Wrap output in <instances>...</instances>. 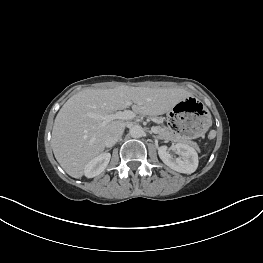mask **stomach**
Returning a JSON list of instances; mask_svg holds the SVG:
<instances>
[{"label": "stomach", "mask_w": 263, "mask_h": 263, "mask_svg": "<svg viewBox=\"0 0 263 263\" xmlns=\"http://www.w3.org/2000/svg\"><path fill=\"white\" fill-rule=\"evenodd\" d=\"M174 131L182 138L196 140L204 137L211 129L213 116L210 108L202 101L185 98L168 111Z\"/></svg>", "instance_id": "1"}]
</instances>
